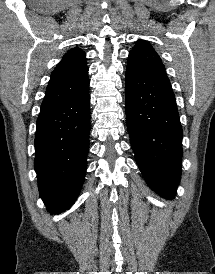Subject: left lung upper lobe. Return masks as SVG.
<instances>
[{
  "instance_id": "obj_1",
  "label": "left lung upper lobe",
  "mask_w": 215,
  "mask_h": 274,
  "mask_svg": "<svg viewBox=\"0 0 215 274\" xmlns=\"http://www.w3.org/2000/svg\"><path fill=\"white\" fill-rule=\"evenodd\" d=\"M127 67L169 81L162 60L153 47L144 40H138L130 51Z\"/></svg>"
}]
</instances>
